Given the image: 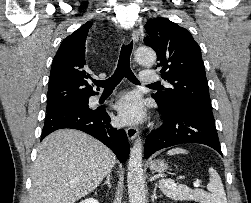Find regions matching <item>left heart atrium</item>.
<instances>
[{"label":"left heart atrium","mask_w":251,"mask_h":203,"mask_svg":"<svg viewBox=\"0 0 251 203\" xmlns=\"http://www.w3.org/2000/svg\"><path fill=\"white\" fill-rule=\"evenodd\" d=\"M118 122L120 124H134L139 122L144 116V109L141 99L129 94L117 104Z\"/></svg>","instance_id":"1"}]
</instances>
